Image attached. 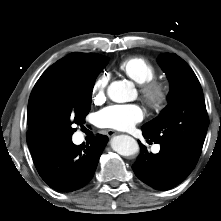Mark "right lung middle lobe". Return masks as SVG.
<instances>
[{
	"mask_svg": "<svg viewBox=\"0 0 221 221\" xmlns=\"http://www.w3.org/2000/svg\"><path fill=\"white\" fill-rule=\"evenodd\" d=\"M102 56L61 74L40 92L28 107L27 143L31 153L71 141L90 111L92 90L107 65Z\"/></svg>",
	"mask_w": 221,
	"mask_h": 221,
	"instance_id": "1",
	"label": "right lung middle lobe"
}]
</instances>
